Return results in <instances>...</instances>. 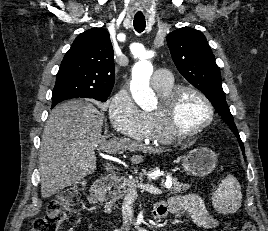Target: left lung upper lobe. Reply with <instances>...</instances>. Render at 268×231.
Masks as SVG:
<instances>
[{
	"mask_svg": "<svg viewBox=\"0 0 268 231\" xmlns=\"http://www.w3.org/2000/svg\"><path fill=\"white\" fill-rule=\"evenodd\" d=\"M167 44L179 72L210 100L239 143H242L225 100L219 67L204 34L183 27L168 34Z\"/></svg>",
	"mask_w": 268,
	"mask_h": 231,
	"instance_id": "1",
	"label": "left lung upper lobe"
}]
</instances>
